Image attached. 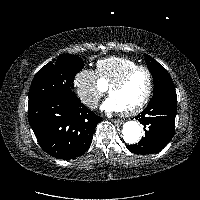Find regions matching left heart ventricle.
<instances>
[{"instance_id":"obj_1","label":"left heart ventricle","mask_w":200,"mask_h":200,"mask_svg":"<svg viewBox=\"0 0 200 200\" xmlns=\"http://www.w3.org/2000/svg\"><path fill=\"white\" fill-rule=\"evenodd\" d=\"M148 77L144 71L134 74L121 88L114 90V98L120 110H127L137 105L146 94Z\"/></svg>"}]
</instances>
